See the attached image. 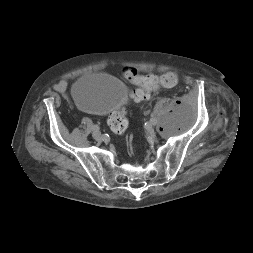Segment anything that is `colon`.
<instances>
[{
  "label": "colon",
  "mask_w": 253,
  "mask_h": 253,
  "mask_svg": "<svg viewBox=\"0 0 253 253\" xmlns=\"http://www.w3.org/2000/svg\"><path fill=\"white\" fill-rule=\"evenodd\" d=\"M123 75L129 82L140 86V88L133 90L131 93L132 99L136 102L147 100L149 98V92L156 88H171L178 82L177 75L173 72H167L160 76L140 75L134 68H126L123 71ZM108 123L114 133L119 135L123 134L128 126L126 110L121 108L112 112L109 116Z\"/></svg>",
  "instance_id": "obj_1"
}]
</instances>
